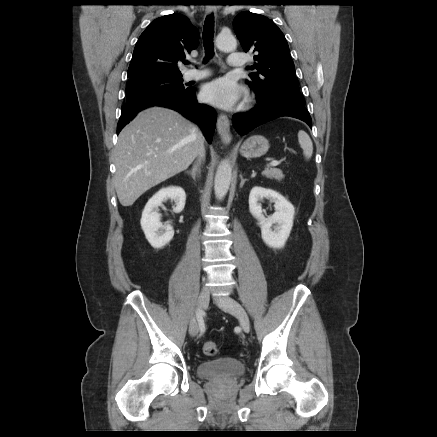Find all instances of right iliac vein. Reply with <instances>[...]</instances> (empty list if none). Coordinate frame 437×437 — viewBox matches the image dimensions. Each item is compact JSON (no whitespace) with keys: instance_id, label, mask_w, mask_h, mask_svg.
Returning <instances> with one entry per match:
<instances>
[{"instance_id":"obj_1","label":"right iliac vein","mask_w":437,"mask_h":437,"mask_svg":"<svg viewBox=\"0 0 437 437\" xmlns=\"http://www.w3.org/2000/svg\"><path fill=\"white\" fill-rule=\"evenodd\" d=\"M209 304V292L207 290H202L197 298L196 309L198 311H203L208 307ZM200 326L198 320L193 317L189 325V333L191 336H196L199 332Z\"/></svg>"}]
</instances>
